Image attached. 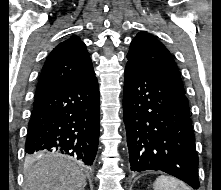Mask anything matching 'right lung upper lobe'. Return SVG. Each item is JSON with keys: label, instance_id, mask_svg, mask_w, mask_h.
<instances>
[{"label": "right lung upper lobe", "instance_id": "right-lung-upper-lobe-1", "mask_svg": "<svg viewBox=\"0 0 221 190\" xmlns=\"http://www.w3.org/2000/svg\"><path fill=\"white\" fill-rule=\"evenodd\" d=\"M94 74L85 44L79 37L57 45L49 54L39 77L35 97Z\"/></svg>", "mask_w": 221, "mask_h": 190}]
</instances>
